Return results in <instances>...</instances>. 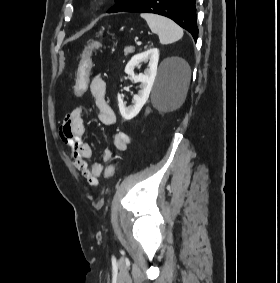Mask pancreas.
I'll return each instance as SVG.
<instances>
[{"label": "pancreas", "mask_w": 280, "mask_h": 283, "mask_svg": "<svg viewBox=\"0 0 280 283\" xmlns=\"http://www.w3.org/2000/svg\"><path fill=\"white\" fill-rule=\"evenodd\" d=\"M134 50H135L134 47H132V46H127V47L124 48V55H125V56H128L129 54L133 53Z\"/></svg>", "instance_id": "obj_1"}]
</instances>
